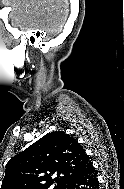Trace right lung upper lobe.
I'll use <instances>...</instances> for the list:
<instances>
[{"label":"right lung upper lobe","mask_w":124,"mask_h":189,"mask_svg":"<svg viewBox=\"0 0 124 189\" xmlns=\"http://www.w3.org/2000/svg\"><path fill=\"white\" fill-rule=\"evenodd\" d=\"M91 163L77 140L63 131L46 134L6 164L1 189L64 185Z\"/></svg>","instance_id":"right-lung-upper-lobe-1"}]
</instances>
